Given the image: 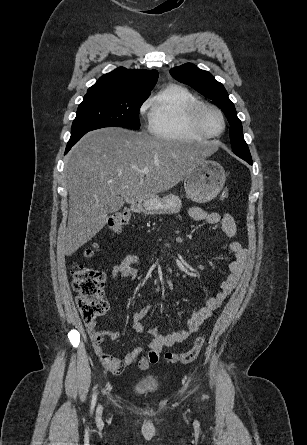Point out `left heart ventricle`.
I'll return each instance as SVG.
<instances>
[{"label": "left heart ventricle", "mask_w": 307, "mask_h": 445, "mask_svg": "<svg viewBox=\"0 0 307 445\" xmlns=\"http://www.w3.org/2000/svg\"><path fill=\"white\" fill-rule=\"evenodd\" d=\"M206 122L209 130L213 134H219L224 129V122L220 114L214 110H208L206 113Z\"/></svg>", "instance_id": "left-heart-ventricle-1"}]
</instances>
